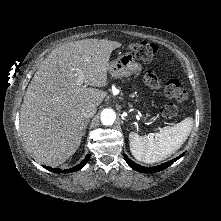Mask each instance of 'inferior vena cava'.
<instances>
[{
    "instance_id": "obj_1",
    "label": "inferior vena cava",
    "mask_w": 221,
    "mask_h": 221,
    "mask_svg": "<svg viewBox=\"0 0 221 221\" xmlns=\"http://www.w3.org/2000/svg\"><path fill=\"white\" fill-rule=\"evenodd\" d=\"M95 113H96V106L92 103H89L82 108V116L84 118H91L95 115Z\"/></svg>"
}]
</instances>
